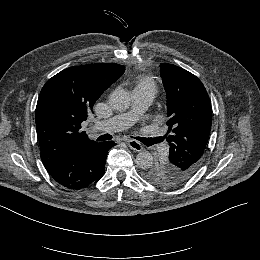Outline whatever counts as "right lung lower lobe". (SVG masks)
<instances>
[{"label":"right lung lower lobe","mask_w":260,"mask_h":260,"mask_svg":"<svg viewBox=\"0 0 260 260\" xmlns=\"http://www.w3.org/2000/svg\"><path fill=\"white\" fill-rule=\"evenodd\" d=\"M114 145L113 141L95 142L49 174L68 189L86 188L103 176L108 150Z\"/></svg>","instance_id":"98d812e1"}]
</instances>
